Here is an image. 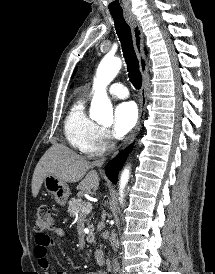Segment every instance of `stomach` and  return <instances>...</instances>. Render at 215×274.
<instances>
[{"label":"stomach","mask_w":215,"mask_h":274,"mask_svg":"<svg viewBox=\"0 0 215 274\" xmlns=\"http://www.w3.org/2000/svg\"><path fill=\"white\" fill-rule=\"evenodd\" d=\"M43 182L46 191L54 196L56 202L65 205L70 193L68 185L53 175L46 176Z\"/></svg>","instance_id":"obj_1"}]
</instances>
